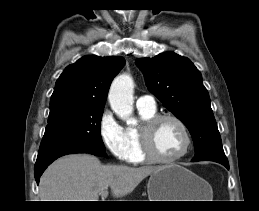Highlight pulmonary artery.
I'll return each instance as SVG.
<instances>
[{"instance_id": "1", "label": "pulmonary artery", "mask_w": 259, "mask_h": 211, "mask_svg": "<svg viewBox=\"0 0 259 211\" xmlns=\"http://www.w3.org/2000/svg\"><path fill=\"white\" fill-rule=\"evenodd\" d=\"M136 105L138 108H145V109H150V110L156 109L155 100L150 95L140 96L136 101Z\"/></svg>"}]
</instances>
